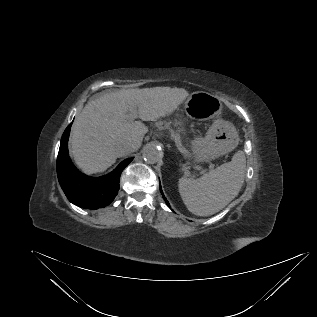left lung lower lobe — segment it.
Segmentation results:
<instances>
[{
    "mask_svg": "<svg viewBox=\"0 0 317 317\" xmlns=\"http://www.w3.org/2000/svg\"><path fill=\"white\" fill-rule=\"evenodd\" d=\"M160 191H161V193H162V196H163V198H164V200H165L167 206L170 207L169 202L167 201V199L165 198V196H164V194H163V191H162V189H161V185H160Z\"/></svg>",
    "mask_w": 317,
    "mask_h": 317,
    "instance_id": "1",
    "label": "left lung lower lobe"
}]
</instances>
